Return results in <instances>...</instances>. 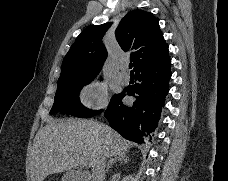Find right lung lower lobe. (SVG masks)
<instances>
[{
    "label": "right lung lower lobe",
    "instance_id": "98d812e1",
    "mask_svg": "<svg viewBox=\"0 0 228 181\" xmlns=\"http://www.w3.org/2000/svg\"><path fill=\"white\" fill-rule=\"evenodd\" d=\"M171 60L168 46L134 68L138 83L127 86L105 111L110 126L124 138L143 143L151 139L169 90ZM125 95L135 97L132 105H124Z\"/></svg>",
    "mask_w": 228,
    "mask_h": 181
}]
</instances>
